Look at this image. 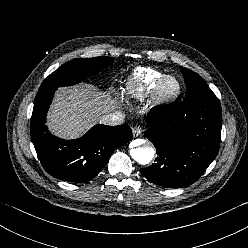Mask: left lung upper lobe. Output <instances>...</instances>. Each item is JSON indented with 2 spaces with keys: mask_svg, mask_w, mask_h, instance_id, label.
I'll list each match as a JSON object with an SVG mask.
<instances>
[{
  "mask_svg": "<svg viewBox=\"0 0 248 248\" xmlns=\"http://www.w3.org/2000/svg\"><path fill=\"white\" fill-rule=\"evenodd\" d=\"M181 72L187 85L184 101L193 100L204 95H214L212 90L198 74L184 67H181Z\"/></svg>",
  "mask_w": 248,
  "mask_h": 248,
  "instance_id": "obj_1",
  "label": "left lung upper lobe"
}]
</instances>
